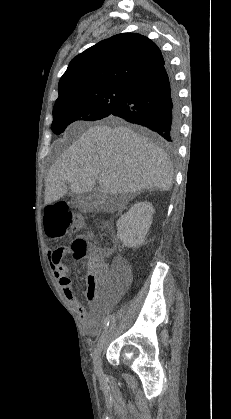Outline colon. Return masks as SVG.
<instances>
[{
	"label": "colon",
	"mask_w": 231,
	"mask_h": 419,
	"mask_svg": "<svg viewBox=\"0 0 231 419\" xmlns=\"http://www.w3.org/2000/svg\"><path fill=\"white\" fill-rule=\"evenodd\" d=\"M45 224L47 230L54 234H66L70 231L82 230L86 227L85 221L76 216L65 202H56L46 209ZM72 255L75 259H82L88 254L91 260L88 263V283L91 288L98 287L103 278L106 282L113 283L116 287L121 280L127 278L126 266L117 262L111 269H108L100 259L105 250L100 247H93L85 239L74 240L71 246Z\"/></svg>",
	"instance_id": "colon-1"
}]
</instances>
